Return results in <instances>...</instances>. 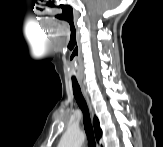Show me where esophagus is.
<instances>
[{
    "label": "esophagus",
    "instance_id": "34e87169",
    "mask_svg": "<svg viewBox=\"0 0 163 147\" xmlns=\"http://www.w3.org/2000/svg\"><path fill=\"white\" fill-rule=\"evenodd\" d=\"M82 90H83L84 95H85L86 98H87V102H88V104H89V109H90L91 115L93 116L92 106H91V104H90V102H89V99H88L87 93H86L85 88H84L83 86H82Z\"/></svg>",
    "mask_w": 163,
    "mask_h": 147
}]
</instances>
